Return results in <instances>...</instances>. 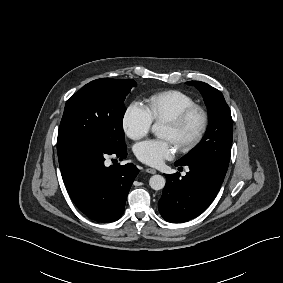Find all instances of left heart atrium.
<instances>
[{
	"label": "left heart atrium",
	"instance_id": "obj_1",
	"mask_svg": "<svg viewBox=\"0 0 283 283\" xmlns=\"http://www.w3.org/2000/svg\"><path fill=\"white\" fill-rule=\"evenodd\" d=\"M134 152L141 162L150 166H159L173 157L175 147L169 139H149L136 144Z\"/></svg>",
	"mask_w": 283,
	"mask_h": 283
}]
</instances>
